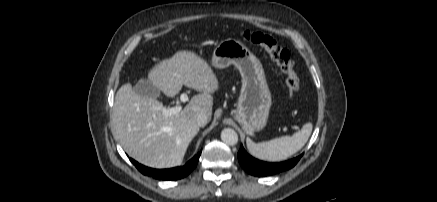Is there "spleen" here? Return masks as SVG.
Segmentation results:
<instances>
[{
	"label": "spleen",
	"mask_w": 437,
	"mask_h": 202,
	"mask_svg": "<svg viewBox=\"0 0 437 202\" xmlns=\"http://www.w3.org/2000/svg\"><path fill=\"white\" fill-rule=\"evenodd\" d=\"M312 128L313 125L309 122L292 136H282L261 143H255L247 138V148L250 154L258 159L272 162L282 161L302 149L312 133Z\"/></svg>",
	"instance_id": "3e777b00"
}]
</instances>
